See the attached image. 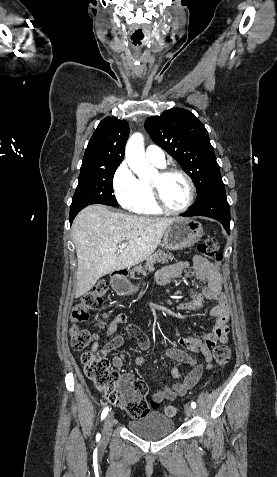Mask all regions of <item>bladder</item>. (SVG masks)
I'll return each instance as SVG.
<instances>
[{"instance_id": "1", "label": "bladder", "mask_w": 277, "mask_h": 477, "mask_svg": "<svg viewBox=\"0 0 277 477\" xmlns=\"http://www.w3.org/2000/svg\"><path fill=\"white\" fill-rule=\"evenodd\" d=\"M127 427L142 438L154 440L171 434L175 429V422L172 418L153 411L142 418L129 420Z\"/></svg>"}]
</instances>
